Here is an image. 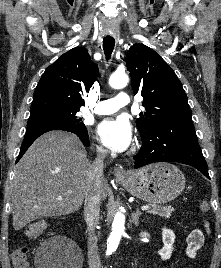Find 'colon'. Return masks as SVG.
Segmentation results:
<instances>
[{
    "label": "colon",
    "mask_w": 221,
    "mask_h": 268,
    "mask_svg": "<svg viewBox=\"0 0 221 268\" xmlns=\"http://www.w3.org/2000/svg\"><path fill=\"white\" fill-rule=\"evenodd\" d=\"M202 213L206 214L210 211V205L207 202H202L200 205ZM203 226L207 233H210V222L208 220L203 221ZM47 227V223L44 220L35 221L29 224L25 228V235L29 238H33L41 234ZM27 249L24 246L17 248L13 255V261L16 268H30V265L26 257Z\"/></svg>",
    "instance_id": "obj_1"
}]
</instances>
